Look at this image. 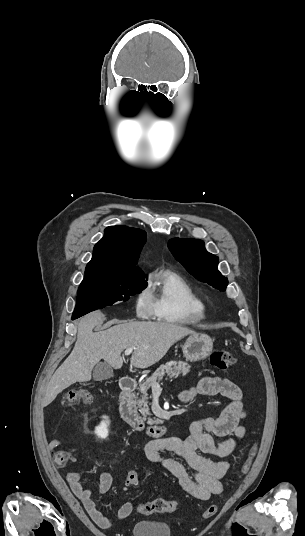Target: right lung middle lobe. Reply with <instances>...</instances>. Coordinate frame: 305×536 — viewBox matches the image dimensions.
I'll use <instances>...</instances> for the list:
<instances>
[{
	"label": "right lung middle lobe",
	"instance_id": "right-lung-middle-lobe-1",
	"mask_svg": "<svg viewBox=\"0 0 305 536\" xmlns=\"http://www.w3.org/2000/svg\"><path fill=\"white\" fill-rule=\"evenodd\" d=\"M147 286L145 278L97 279L85 278L79 286L74 316L111 306L119 300L140 293Z\"/></svg>",
	"mask_w": 305,
	"mask_h": 536
}]
</instances>
